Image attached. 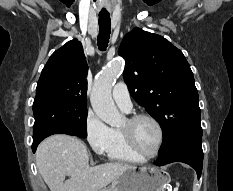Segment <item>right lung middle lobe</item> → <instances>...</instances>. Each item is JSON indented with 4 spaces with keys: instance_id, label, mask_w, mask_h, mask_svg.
Segmentation results:
<instances>
[{
    "instance_id": "right-lung-middle-lobe-1",
    "label": "right lung middle lobe",
    "mask_w": 233,
    "mask_h": 191,
    "mask_svg": "<svg viewBox=\"0 0 233 191\" xmlns=\"http://www.w3.org/2000/svg\"><path fill=\"white\" fill-rule=\"evenodd\" d=\"M33 138L46 133H62L86 138L87 106L55 99L34 101Z\"/></svg>"
}]
</instances>
